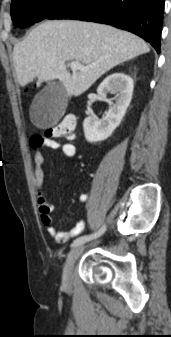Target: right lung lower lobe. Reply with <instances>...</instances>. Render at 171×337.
Returning a JSON list of instances; mask_svg holds the SVG:
<instances>
[{
	"label": "right lung lower lobe",
	"mask_w": 171,
	"mask_h": 337,
	"mask_svg": "<svg viewBox=\"0 0 171 337\" xmlns=\"http://www.w3.org/2000/svg\"><path fill=\"white\" fill-rule=\"evenodd\" d=\"M164 0H71L48 19L105 23L130 31L160 52Z\"/></svg>",
	"instance_id": "obj_1"
}]
</instances>
